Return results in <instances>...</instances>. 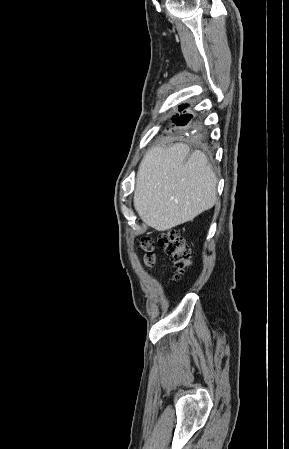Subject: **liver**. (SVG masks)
Listing matches in <instances>:
<instances>
[{"instance_id": "1", "label": "liver", "mask_w": 289, "mask_h": 449, "mask_svg": "<svg viewBox=\"0 0 289 449\" xmlns=\"http://www.w3.org/2000/svg\"><path fill=\"white\" fill-rule=\"evenodd\" d=\"M182 143L155 145L137 173L134 207L140 219L157 231L192 221L216 202L217 178L201 151Z\"/></svg>"}]
</instances>
